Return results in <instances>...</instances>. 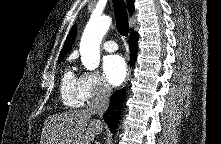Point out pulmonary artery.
I'll return each mask as SVG.
<instances>
[{"mask_svg": "<svg viewBox=\"0 0 221 144\" xmlns=\"http://www.w3.org/2000/svg\"><path fill=\"white\" fill-rule=\"evenodd\" d=\"M102 48L107 52H114L118 49V46L115 41H105Z\"/></svg>", "mask_w": 221, "mask_h": 144, "instance_id": "pulmonary-artery-1", "label": "pulmonary artery"}]
</instances>
